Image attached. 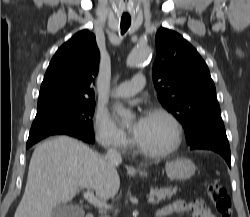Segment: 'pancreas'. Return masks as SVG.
Returning a JSON list of instances; mask_svg holds the SVG:
<instances>
[{
    "mask_svg": "<svg viewBox=\"0 0 250 217\" xmlns=\"http://www.w3.org/2000/svg\"><path fill=\"white\" fill-rule=\"evenodd\" d=\"M177 191V187L155 188L150 190V196L156 197L155 203H159L162 200L170 199L173 195L177 193Z\"/></svg>",
    "mask_w": 250,
    "mask_h": 217,
    "instance_id": "1",
    "label": "pancreas"
}]
</instances>
